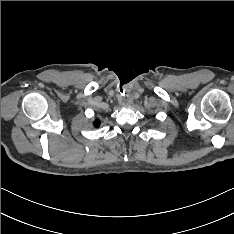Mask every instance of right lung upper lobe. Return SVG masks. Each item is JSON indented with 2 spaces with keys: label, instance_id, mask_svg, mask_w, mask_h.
<instances>
[{
  "label": "right lung upper lobe",
  "instance_id": "1",
  "mask_svg": "<svg viewBox=\"0 0 234 234\" xmlns=\"http://www.w3.org/2000/svg\"><path fill=\"white\" fill-rule=\"evenodd\" d=\"M100 125V121L97 119L95 122H94V126L95 127H98Z\"/></svg>",
  "mask_w": 234,
  "mask_h": 234
}]
</instances>
